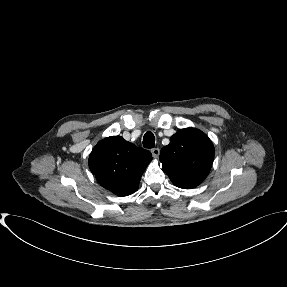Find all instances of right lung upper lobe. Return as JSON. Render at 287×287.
Here are the masks:
<instances>
[{
    "label": "right lung upper lobe",
    "instance_id": "cb5924a9",
    "mask_svg": "<svg viewBox=\"0 0 287 287\" xmlns=\"http://www.w3.org/2000/svg\"><path fill=\"white\" fill-rule=\"evenodd\" d=\"M151 153L121 136L107 137L97 143L89 156V168L99 184L118 196L134 193Z\"/></svg>",
    "mask_w": 287,
    "mask_h": 287
}]
</instances>
